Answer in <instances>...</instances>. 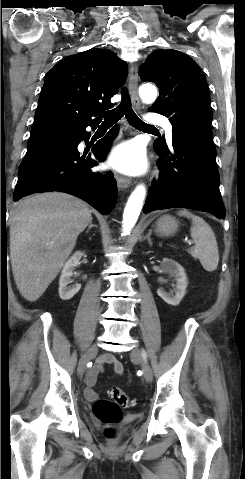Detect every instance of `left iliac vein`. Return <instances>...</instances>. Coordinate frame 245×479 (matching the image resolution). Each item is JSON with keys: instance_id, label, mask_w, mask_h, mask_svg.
I'll list each match as a JSON object with an SVG mask.
<instances>
[{"instance_id": "obj_1", "label": "left iliac vein", "mask_w": 245, "mask_h": 479, "mask_svg": "<svg viewBox=\"0 0 245 479\" xmlns=\"http://www.w3.org/2000/svg\"><path fill=\"white\" fill-rule=\"evenodd\" d=\"M131 359L134 362H137L141 365L142 370H143V376L147 382H150L153 377L152 369L149 365V363L145 360L142 352L140 351L139 348H134L131 351Z\"/></svg>"}]
</instances>
